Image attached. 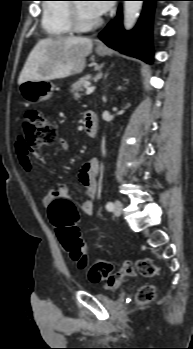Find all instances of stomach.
Returning a JSON list of instances; mask_svg holds the SVG:
<instances>
[{"instance_id": "obj_1", "label": "stomach", "mask_w": 193, "mask_h": 349, "mask_svg": "<svg viewBox=\"0 0 193 349\" xmlns=\"http://www.w3.org/2000/svg\"><path fill=\"white\" fill-rule=\"evenodd\" d=\"M96 52L100 56H105L109 50L97 48ZM53 90L54 85L46 80H27L19 85V93L28 103L48 100L52 96Z\"/></svg>"}]
</instances>
